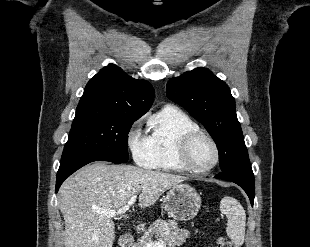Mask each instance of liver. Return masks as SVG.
I'll return each instance as SVG.
<instances>
[{
    "label": "liver",
    "instance_id": "1",
    "mask_svg": "<svg viewBox=\"0 0 310 247\" xmlns=\"http://www.w3.org/2000/svg\"><path fill=\"white\" fill-rule=\"evenodd\" d=\"M186 177L131 165L95 162L68 178L59 190L65 247H112L115 225L97 210H118L138 192L141 208L153 205Z\"/></svg>",
    "mask_w": 310,
    "mask_h": 247
}]
</instances>
